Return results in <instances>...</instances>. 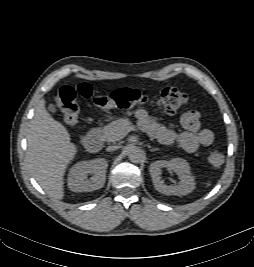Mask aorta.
<instances>
[{"mask_svg":"<svg viewBox=\"0 0 254 267\" xmlns=\"http://www.w3.org/2000/svg\"><path fill=\"white\" fill-rule=\"evenodd\" d=\"M128 158L132 163H140L144 158V153L136 146H130L128 148Z\"/></svg>","mask_w":254,"mask_h":267,"instance_id":"obj_1","label":"aorta"}]
</instances>
